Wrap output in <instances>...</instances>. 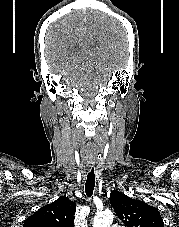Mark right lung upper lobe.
<instances>
[{
    "instance_id": "obj_1",
    "label": "right lung upper lobe",
    "mask_w": 179,
    "mask_h": 227,
    "mask_svg": "<svg viewBox=\"0 0 179 227\" xmlns=\"http://www.w3.org/2000/svg\"><path fill=\"white\" fill-rule=\"evenodd\" d=\"M76 204L62 196L29 216L23 227H74Z\"/></svg>"
}]
</instances>
